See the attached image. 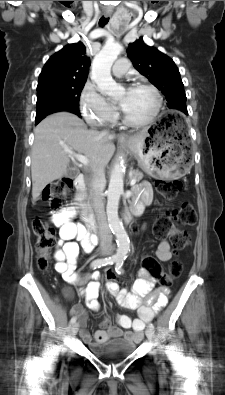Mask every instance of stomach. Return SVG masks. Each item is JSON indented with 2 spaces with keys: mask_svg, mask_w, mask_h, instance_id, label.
<instances>
[{
  "mask_svg": "<svg viewBox=\"0 0 225 395\" xmlns=\"http://www.w3.org/2000/svg\"><path fill=\"white\" fill-rule=\"evenodd\" d=\"M160 116L157 122L130 136L126 144L137 158L139 166L148 174L166 179L182 177L188 170V145L185 137L173 127H166L168 121Z\"/></svg>",
  "mask_w": 225,
  "mask_h": 395,
  "instance_id": "stomach-1",
  "label": "stomach"
}]
</instances>
